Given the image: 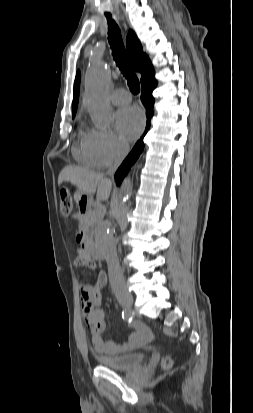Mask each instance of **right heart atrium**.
Instances as JSON below:
<instances>
[{"label":"right heart atrium","instance_id":"d8ad5b80","mask_svg":"<svg viewBox=\"0 0 253 413\" xmlns=\"http://www.w3.org/2000/svg\"><path fill=\"white\" fill-rule=\"evenodd\" d=\"M87 144L101 167H106L122 158L128 149L110 129L92 130L87 134Z\"/></svg>","mask_w":253,"mask_h":413}]
</instances>
